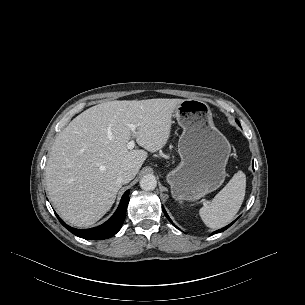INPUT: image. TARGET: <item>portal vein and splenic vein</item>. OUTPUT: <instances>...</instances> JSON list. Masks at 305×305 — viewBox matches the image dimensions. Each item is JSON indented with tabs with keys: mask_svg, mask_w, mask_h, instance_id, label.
Wrapping results in <instances>:
<instances>
[{
	"mask_svg": "<svg viewBox=\"0 0 305 305\" xmlns=\"http://www.w3.org/2000/svg\"><path fill=\"white\" fill-rule=\"evenodd\" d=\"M129 127H130V129H131L132 132H135V131H136V128L138 127V124H133V123H132V124L129 125ZM134 146H135L134 140H130V141L127 143V148L130 149V150H132V149L134 148Z\"/></svg>",
	"mask_w": 305,
	"mask_h": 305,
	"instance_id": "18ae733b",
	"label": "portal vein and splenic vein"
}]
</instances>
